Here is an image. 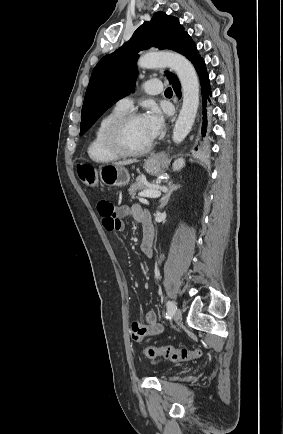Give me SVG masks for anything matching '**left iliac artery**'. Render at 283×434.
I'll use <instances>...</instances> for the list:
<instances>
[{
	"instance_id": "left-iliac-artery-1",
	"label": "left iliac artery",
	"mask_w": 283,
	"mask_h": 434,
	"mask_svg": "<svg viewBox=\"0 0 283 434\" xmlns=\"http://www.w3.org/2000/svg\"><path fill=\"white\" fill-rule=\"evenodd\" d=\"M166 306H167L166 318H169L174 314L176 310V305L172 301H167Z\"/></svg>"
}]
</instances>
